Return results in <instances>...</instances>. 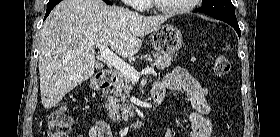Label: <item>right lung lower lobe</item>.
I'll use <instances>...</instances> for the list:
<instances>
[{"label": "right lung lower lobe", "instance_id": "1", "mask_svg": "<svg viewBox=\"0 0 280 137\" xmlns=\"http://www.w3.org/2000/svg\"><path fill=\"white\" fill-rule=\"evenodd\" d=\"M61 0H50L47 4V11H46V15L45 18L49 15V13L51 12V10L60 2ZM106 4H112L109 0H103ZM44 18V19H45Z\"/></svg>", "mask_w": 280, "mask_h": 137}]
</instances>
